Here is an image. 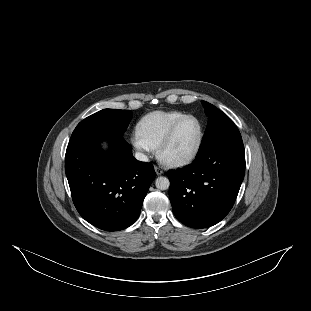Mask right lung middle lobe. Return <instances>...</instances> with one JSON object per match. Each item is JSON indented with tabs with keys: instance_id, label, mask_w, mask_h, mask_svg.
Returning a JSON list of instances; mask_svg holds the SVG:
<instances>
[{
	"instance_id": "obj_1",
	"label": "right lung middle lobe",
	"mask_w": 311,
	"mask_h": 311,
	"mask_svg": "<svg viewBox=\"0 0 311 311\" xmlns=\"http://www.w3.org/2000/svg\"><path fill=\"white\" fill-rule=\"evenodd\" d=\"M131 118L130 110L103 109L82 120L72 136L89 130H110L123 134Z\"/></svg>"
}]
</instances>
